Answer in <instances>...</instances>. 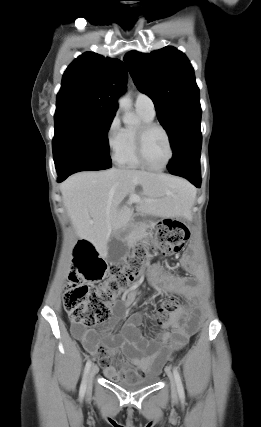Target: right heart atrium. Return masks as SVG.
Returning <instances> with one entry per match:
<instances>
[{
  "label": "right heart atrium",
  "instance_id": "d8ad5b80",
  "mask_svg": "<svg viewBox=\"0 0 261 427\" xmlns=\"http://www.w3.org/2000/svg\"><path fill=\"white\" fill-rule=\"evenodd\" d=\"M123 128L121 127L120 119L115 114L107 125L105 132L106 144L109 151L115 157L119 152L122 144Z\"/></svg>",
  "mask_w": 261,
  "mask_h": 427
}]
</instances>
